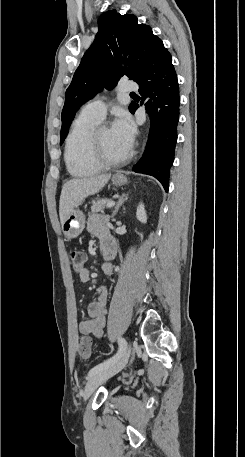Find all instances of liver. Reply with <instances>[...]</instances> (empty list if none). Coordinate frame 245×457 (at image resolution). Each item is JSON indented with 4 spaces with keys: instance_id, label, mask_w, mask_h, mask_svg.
I'll use <instances>...</instances> for the list:
<instances>
[{
    "instance_id": "obj_1",
    "label": "liver",
    "mask_w": 245,
    "mask_h": 457,
    "mask_svg": "<svg viewBox=\"0 0 245 457\" xmlns=\"http://www.w3.org/2000/svg\"><path fill=\"white\" fill-rule=\"evenodd\" d=\"M111 174H98L91 178H71L63 184L60 194L59 214L60 222H64L71 210L82 202L89 194H96L108 182Z\"/></svg>"
}]
</instances>
